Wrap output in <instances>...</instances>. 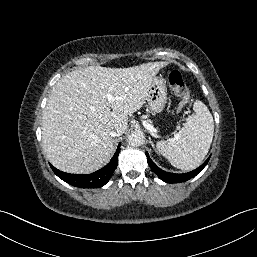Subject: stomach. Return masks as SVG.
I'll return each instance as SVG.
<instances>
[{
  "mask_svg": "<svg viewBox=\"0 0 257 257\" xmlns=\"http://www.w3.org/2000/svg\"><path fill=\"white\" fill-rule=\"evenodd\" d=\"M146 99L152 113L156 114L163 111L167 101V87L162 76L153 78Z\"/></svg>",
  "mask_w": 257,
  "mask_h": 257,
  "instance_id": "0dacf381",
  "label": "stomach"
}]
</instances>
